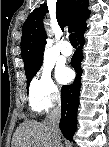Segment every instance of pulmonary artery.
Segmentation results:
<instances>
[{
    "label": "pulmonary artery",
    "mask_w": 109,
    "mask_h": 147,
    "mask_svg": "<svg viewBox=\"0 0 109 147\" xmlns=\"http://www.w3.org/2000/svg\"><path fill=\"white\" fill-rule=\"evenodd\" d=\"M61 54L65 57H69L72 55V47L69 41H64L61 48H60Z\"/></svg>",
    "instance_id": "obj_1"
}]
</instances>
